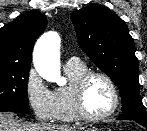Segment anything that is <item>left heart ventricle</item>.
Instances as JSON below:
<instances>
[{"mask_svg": "<svg viewBox=\"0 0 147 131\" xmlns=\"http://www.w3.org/2000/svg\"><path fill=\"white\" fill-rule=\"evenodd\" d=\"M113 96L108 83L101 77L91 78L85 88V106L92 115H102L112 106Z\"/></svg>", "mask_w": 147, "mask_h": 131, "instance_id": "b2bd125f", "label": "left heart ventricle"}]
</instances>
